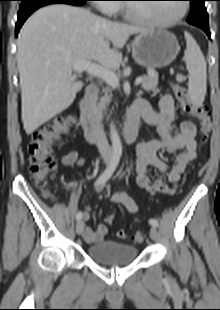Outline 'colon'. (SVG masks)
Masks as SVG:
<instances>
[{
    "label": "colon",
    "mask_w": 220,
    "mask_h": 310,
    "mask_svg": "<svg viewBox=\"0 0 220 310\" xmlns=\"http://www.w3.org/2000/svg\"><path fill=\"white\" fill-rule=\"evenodd\" d=\"M173 89L182 110L198 120L200 139L202 142L206 141L212 130V120L208 109L203 104L191 100L185 87L175 84ZM72 124L73 122L70 118H60L54 123L34 132L28 148L30 154L29 170L38 187L45 189L52 178L57 165L52 154L53 145L62 135L70 130ZM46 194L49 197H53L54 191L46 189ZM114 219V215L110 214L106 217V222L112 224ZM126 236L127 234L124 230L117 232V237L120 239H124ZM132 239L136 243H141L144 240V234L137 231Z\"/></svg>",
    "instance_id": "1"
}]
</instances>
